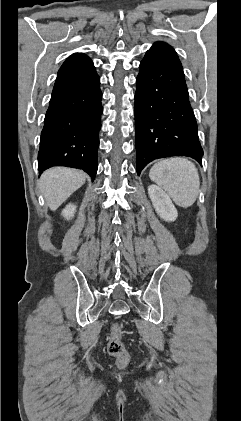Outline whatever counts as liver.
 <instances>
[{
    "instance_id": "liver-1",
    "label": "liver",
    "mask_w": 241,
    "mask_h": 421,
    "mask_svg": "<svg viewBox=\"0 0 241 421\" xmlns=\"http://www.w3.org/2000/svg\"><path fill=\"white\" fill-rule=\"evenodd\" d=\"M86 181V175L75 169L54 167L46 170L40 178L39 188L47 206L56 210Z\"/></svg>"
}]
</instances>
